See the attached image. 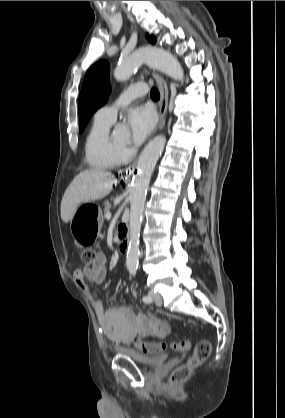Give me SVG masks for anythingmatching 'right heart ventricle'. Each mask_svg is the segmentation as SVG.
I'll use <instances>...</instances> for the list:
<instances>
[{
    "mask_svg": "<svg viewBox=\"0 0 285 418\" xmlns=\"http://www.w3.org/2000/svg\"><path fill=\"white\" fill-rule=\"evenodd\" d=\"M111 122L94 116L84 140L85 159L90 168L106 170L123 162V156L117 154L108 144L107 136Z\"/></svg>",
    "mask_w": 285,
    "mask_h": 418,
    "instance_id": "right-heart-ventricle-1",
    "label": "right heart ventricle"
}]
</instances>
